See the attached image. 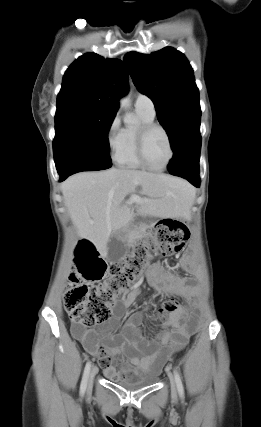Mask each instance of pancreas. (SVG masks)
Wrapping results in <instances>:
<instances>
[{
  "label": "pancreas",
  "instance_id": "pancreas-1",
  "mask_svg": "<svg viewBox=\"0 0 261 427\" xmlns=\"http://www.w3.org/2000/svg\"><path fill=\"white\" fill-rule=\"evenodd\" d=\"M147 228H148V226H145V225L139 227L135 232V238H141V237L145 236L146 234L149 235L150 233L146 232Z\"/></svg>",
  "mask_w": 261,
  "mask_h": 427
}]
</instances>
